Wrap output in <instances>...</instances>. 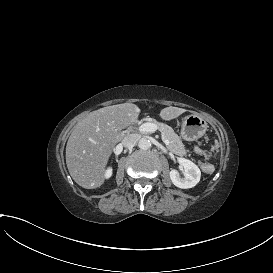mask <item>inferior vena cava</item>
I'll return each instance as SVG.
<instances>
[{"mask_svg":"<svg viewBox=\"0 0 273 273\" xmlns=\"http://www.w3.org/2000/svg\"><path fill=\"white\" fill-rule=\"evenodd\" d=\"M139 141L138 135L130 134L122 140V145L127 148H132Z\"/></svg>","mask_w":273,"mask_h":273,"instance_id":"602c4592","label":"inferior vena cava"}]
</instances>
